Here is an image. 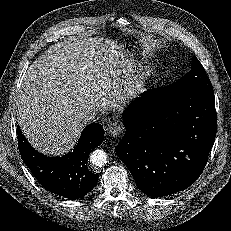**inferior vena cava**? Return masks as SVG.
Returning a JSON list of instances; mask_svg holds the SVG:
<instances>
[{"mask_svg": "<svg viewBox=\"0 0 231 231\" xmlns=\"http://www.w3.org/2000/svg\"><path fill=\"white\" fill-rule=\"evenodd\" d=\"M98 110L95 107H86L79 114L78 118L84 123L88 124L95 120Z\"/></svg>", "mask_w": 231, "mask_h": 231, "instance_id": "inferior-vena-cava-1", "label": "inferior vena cava"}]
</instances>
